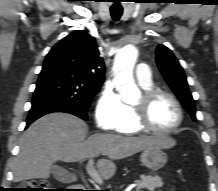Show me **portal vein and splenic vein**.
I'll return each mask as SVG.
<instances>
[{
  "label": "portal vein and splenic vein",
  "mask_w": 218,
  "mask_h": 191,
  "mask_svg": "<svg viewBox=\"0 0 218 191\" xmlns=\"http://www.w3.org/2000/svg\"><path fill=\"white\" fill-rule=\"evenodd\" d=\"M93 161H94L93 158L89 160L88 164L86 165V171L95 182L99 184H103L102 178L100 177L99 173L93 166ZM137 189L139 188L137 187Z\"/></svg>",
  "instance_id": "18ae733b"
}]
</instances>
